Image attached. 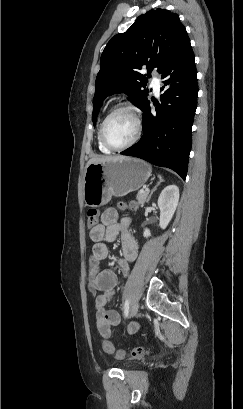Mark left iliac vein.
<instances>
[{"instance_id":"obj_1","label":"left iliac vein","mask_w":243,"mask_h":409,"mask_svg":"<svg viewBox=\"0 0 243 409\" xmlns=\"http://www.w3.org/2000/svg\"><path fill=\"white\" fill-rule=\"evenodd\" d=\"M138 302H133L130 309V316L134 317L138 312Z\"/></svg>"}]
</instances>
